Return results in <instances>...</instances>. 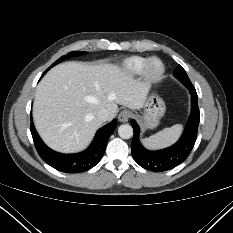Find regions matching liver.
<instances>
[{
	"mask_svg": "<svg viewBox=\"0 0 233 233\" xmlns=\"http://www.w3.org/2000/svg\"><path fill=\"white\" fill-rule=\"evenodd\" d=\"M148 86L113 64L65 62L52 68L36 88L33 120L43 141L53 150L75 153L85 149L102 125L100 109L109 120L118 104L144 106Z\"/></svg>",
	"mask_w": 233,
	"mask_h": 233,
	"instance_id": "1",
	"label": "liver"
}]
</instances>
